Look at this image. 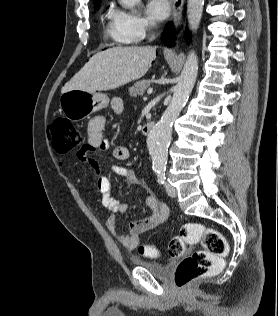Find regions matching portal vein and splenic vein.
I'll return each mask as SVG.
<instances>
[{
  "label": "portal vein and splenic vein",
  "instance_id": "portal-vein-and-splenic-vein-1",
  "mask_svg": "<svg viewBox=\"0 0 278 316\" xmlns=\"http://www.w3.org/2000/svg\"><path fill=\"white\" fill-rule=\"evenodd\" d=\"M152 92H153L152 88H149L148 91H147L148 94H151Z\"/></svg>",
  "mask_w": 278,
  "mask_h": 316
}]
</instances>
